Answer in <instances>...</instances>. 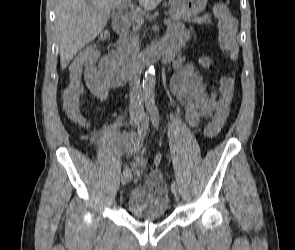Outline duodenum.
Wrapping results in <instances>:
<instances>
[{
    "instance_id": "410a0bca",
    "label": "duodenum",
    "mask_w": 295,
    "mask_h": 250,
    "mask_svg": "<svg viewBox=\"0 0 295 250\" xmlns=\"http://www.w3.org/2000/svg\"><path fill=\"white\" fill-rule=\"evenodd\" d=\"M113 30L118 35L115 42V55L113 58L114 75L118 82H123L149 67L154 61H168L169 58L159 47L152 48L148 52L135 56L128 52L125 34L130 26V19L122 14L116 17L112 23Z\"/></svg>"
}]
</instances>
